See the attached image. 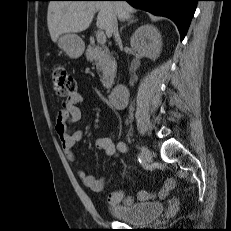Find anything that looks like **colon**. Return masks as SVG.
<instances>
[{
	"instance_id": "colon-1",
	"label": "colon",
	"mask_w": 231,
	"mask_h": 231,
	"mask_svg": "<svg viewBox=\"0 0 231 231\" xmlns=\"http://www.w3.org/2000/svg\"><path fill=\"white\" fill-rule=\"evenodd\" d=\"M51 80L57 96L68 98L76 92V82L73 76L61 65L51 68Z\"/></svg>"
}]
</instances>
